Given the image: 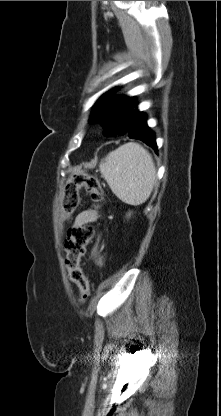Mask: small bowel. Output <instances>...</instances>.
<instances>
[{
  "mask_svg": "<svg viewBox=\"0 0 221 416\" xmlns=\"http://www.w3.org/2000/svg\"><path fill=\"white\" fill-rule=\"evenodd\" d=\"M98 218H99V215L95 211H92V210L82 211L76 216L73 226H79L83 224L92 223V222H95ZM92 257L97 264L102 263L97 245L92 250Z\"/></svg>",
  "mask_w": 221,
  "mask_h": 416,
  "instance_id": "obj_1",
  "label": "small bowel"
}]
</instances>
